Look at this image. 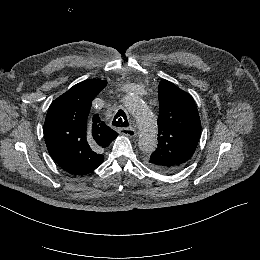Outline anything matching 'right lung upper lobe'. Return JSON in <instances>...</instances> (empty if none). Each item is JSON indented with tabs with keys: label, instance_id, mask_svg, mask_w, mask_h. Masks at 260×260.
Wrapping results in <instances>:
<instances>
[{
	"label": "right lung upper lobe",
	"instance_id": "obj_1",
	"mask_svg": "<svg viewBox=\"0 0 260 260\" xmlns=\"http://www.w3.org/2000/svg\"><path fill=\"white\" fill-rule=\"evenodd\" d=\"M107 85L91 79L74 85L50 105L44 123L49 154L65 171L88 174L99 167L103 150L118 136L98 116L89 115L91 102Z\"/></svg>",
	"mask_w": 260,
	"mask_h": 260
}]
</instances>
